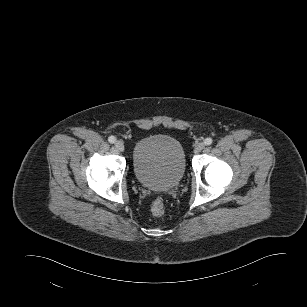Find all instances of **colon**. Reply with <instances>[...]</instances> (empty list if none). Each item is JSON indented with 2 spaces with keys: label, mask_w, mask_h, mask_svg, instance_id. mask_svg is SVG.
I'll list each match as a JSON object with an SVG mask.
<instances>
[{
  "label": "colon",
  "mask_w": 307,
  "mask_h": 307,
  "mask_svg": "<svg viewBox=\"0 0 307 307\" xmlns=\"http://www.w3.org/2000/svg\"><path fill=\"white\" fill-rule=\"evenodd\" d=\"M151 212L155 216H161L165 212V205L162 200L156 199L151 205Z\"/></svg>",
  "instance_id": "colon-1"
}]
</instances>
